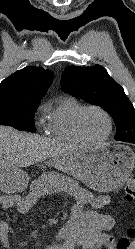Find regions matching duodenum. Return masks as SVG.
I'll return each mask as SVG.
<instances>
[{
    "label": "duodenum",
    "instance_id": "1",
    "mask_svg": "<svg viewBox=\"0 0 135 249\" xmlns=\"http://www.w3.org/2000/svg\"><path fill=\"white\" fill-rule=\"evenodd\" d=\"M62 249H72L73 247H78L80 249H90L91 245L86 243V238L79 235L69 236L61 246ZM59 247V249L61 248Z\"/></svg>",
    "mask_w": 135,
    "mask_h": 249
}]
</instances>
